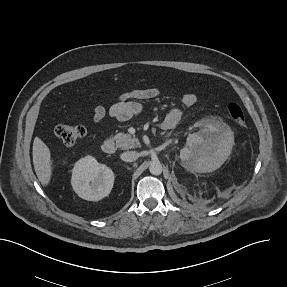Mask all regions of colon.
<instances>
[{
	"label": "colon",
	"mask_w": 287,
	"mask_h": 287,
	"mask_svg": "<svg viewBox=\"0 0 287 287\" xmlns=\"http://www.w3.org/2000/svg\"><path fill=\"white\" fill-rule=\"evenodd\" d=\"M230 118L238 125L245 124V115L242 107L238 103L228 105ZM54 134L66 145H73L86 134V129L82 125L61 124L54 129Z\"/></svg>",
	"instance_id": "obj_1"
}]
</instances>
